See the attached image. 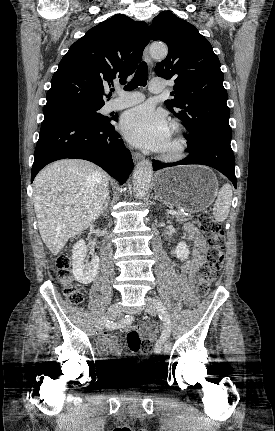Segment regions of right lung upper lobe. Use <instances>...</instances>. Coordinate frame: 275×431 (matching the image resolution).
Instances as JSON below:
<instances>
[{"instance_id": "right-lung-upper-lobe-1", "label": "right lung upper lobe", "mask_w": 275, "mask_h": 431, "mask_svg": "<svg viewBox=\"0 0 275 431\" xmlns=\"http://www.w3.org/2000/svg\"><path fill=\"white\" fill-rule=\"evenodd\" d=\"M149 41L148 25L123 14L90 29L60 61L47 92L44 113L104 105L109 100L104 89L114 79L126 82Z\"/></svg>"}]
</instances>
